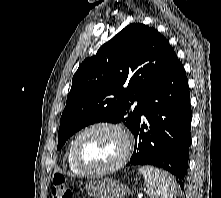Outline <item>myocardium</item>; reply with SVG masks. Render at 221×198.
<instances>
[{
  "instance_id": "f54148a6",
  "label": "myocardium",
  "mask_w": 221,
  "mask_h": 198,
  "mask_svg": "<svg viewBox=\"0 0 221 198\" xmlns=\"http://www.w3.org/2000/svg\"><path fill=\"white\" fill-rule=\"evenodd\" d=\"M100 128H105V129H111L116 131L122 138L123 143H124V149L123 152L121 154V156L119 157V159L106 167L103 168H90L85 166L79 159L78 156V143L80 141V139L87 134L88 132L95 130V129H100ZM132 152V141L131 138L128 134V132L119 124L117 123H113V122H107V121H102V122H96L93 123L87 127H85L83 130H81L76 137L73 139L72 141V146H71V154H72V160L75 164V166L84 174H88V175H94V176H99V175H105V174H109L112 173L118 169H120L121 167H123Z\"/></svg>"
}]
</instances>
